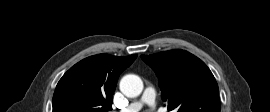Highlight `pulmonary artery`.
<instances>
[{
  "mask_svg": "<svg viewBox=\"0 0 270 112\" xmlns=\"http://www.w3.org/2000/svg\"><path fill=\"white\" fill-rule=\"evenodd\" d=\"M156 92L153 87H147L140 100L132 102L119 112H138L144 105H149L152 109L155 108Z\"/></svg>",
  "mask_w": 270,
  "mask_h": 112,
  "instance_id": "obj_1",
  "label": "pulmonary artery"
}]
</instances>
